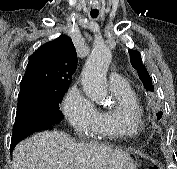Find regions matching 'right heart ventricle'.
<instances>
[{"instance_id":"e07e8e85","label":"right heart ventricle","mask_w":177,"mask_h":169,"mask_svg":"<svg viewBox=\"0 0 177 169\" xmlns=\"http://www.w3.org/2000/svg\"><path fill=\"white\" fill-rule=\"evenodd\" d=\"M116 105L97 111L94 131L99 138L123 139L139 135L144 129L143 110L134 90H111Z\"/></svg>"}]
</instances>
